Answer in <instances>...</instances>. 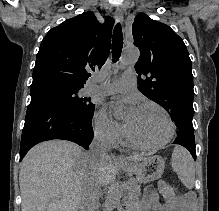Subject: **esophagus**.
<instances>
[{"label": "esophagus", "mask_w": 219, "mask_h": 211, "mask_svg": "<svg viewBox=\"0 0 219 211\" xmlns=\"http://www.w3.org/2000/svg\"><path fill=\"white\" fill-rule=\"evenodd\" d=\"M115 19L118 22H122L123 21V12H122V9L120 7H117L116 10H115ZM122 161H123V157L119 156L118 157V162L121 163Z\"/></svg>", "instance_id": "34e87169"}]
</instances>
